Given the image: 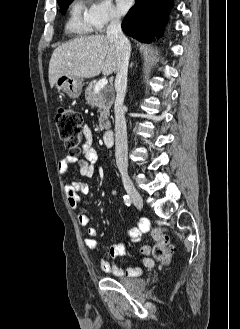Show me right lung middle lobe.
Here are the masks:
<instances>
[{
    "mask_svg": "<svg viewBox=\"0 0 240 329\" xmlns=\"http://www.w3.org/2000/svg\"><path fill=\"white\" fill-rule=\"evenodd\" d=\"M73 0H61L58 2V4L60 5V11L62 13H64V11L67 9L68 5L70 2H72Z\"/></svg>",
    "mask_w": 240,
    "mask_h": 329,
    "instance_id": "1",
    "label": "right lung middle lobe"
}]
</instances>
